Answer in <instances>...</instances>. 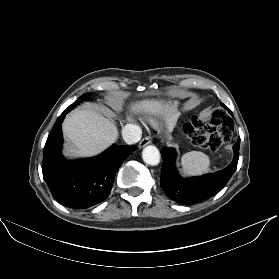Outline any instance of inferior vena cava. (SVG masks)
I'll use <instances>...</instances> for the list:
<instances>
[{
    "mask_svg": "<svg viewBox=\"0 0 279 279\" xmlns=\"http://www.w3.org/2000/svg\"><path fill=\"white\" fill-rule=\"evenodd\" d=\"M122 136L127 144H135L139 142L142 136L140 128L133 124H127L122 131Z\"/></svg>",
    "mask_w": 279,
    "mask_h": 279,
    "instance_id": "1",
    "label": "inferior vena cava"
}]
</instances>
